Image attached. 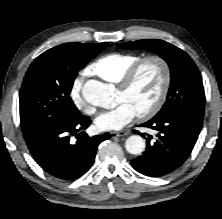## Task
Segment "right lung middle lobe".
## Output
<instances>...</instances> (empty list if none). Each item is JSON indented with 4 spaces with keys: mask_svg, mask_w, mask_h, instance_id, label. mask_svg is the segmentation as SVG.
Masks as SVG:
<instances>
[{
    "mask_svg": "<svg viewBox=\"0 0 222 219\" xmlns=\"http://www.w3.org/2000/svg\"><path fill=\"white\" fill-rule=\"evenodd\" d=\"M108 43H65L47 50L30 65L20 91V121L25 139L69 115H79L70 92L82 66Z\"/></svg>",
    "mask_w": 222,
    "mask_h": 219,
    "instance_id": "dd1d6c3e",
    "label": "right lung middle lobe"
}]
</instances>
